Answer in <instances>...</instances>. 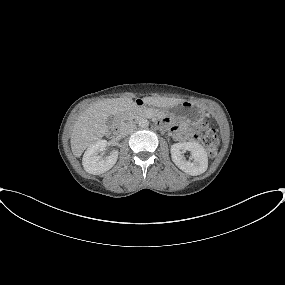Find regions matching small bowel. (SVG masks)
Returning <instances> with one entry per match:
<instances>
[{
  "label": "small bowel",
  "mask_w": 285,
  "mask_h": 285,
  "mask_svg": "<svg viewBox=\"0 0 285 285\" xmlns=\"http://www.w3.org/2000/svg\"><path fill=\"white\" fill-rule=\"evenodd\" d=\"M175 138L178 140H184L187 138V135L183 134V133H177V134H175Z\"/></svg>",
  "instance_id": "obj_1"
}]
</instances>
